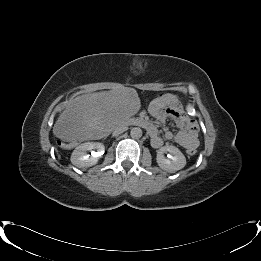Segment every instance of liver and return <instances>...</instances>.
<instances>
[{
    "instance_id": "1",
    "label": "liver",
    "mask_w": 261,
    "mask_h": 261,
    "mask_svg": "<svg viewBox=\"0 0 261 261\" xmlns=\"http://www.w3.org/2000/svg\"><path fill=\"white\" fill-rule=\"evenodd\" d=\"M137 97L135 90L124 87L79 96L58 117L53 133L64 141L103 138L137 112Z\"/></svg>"
}]
</instances>
